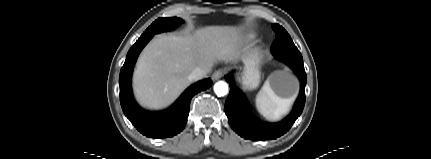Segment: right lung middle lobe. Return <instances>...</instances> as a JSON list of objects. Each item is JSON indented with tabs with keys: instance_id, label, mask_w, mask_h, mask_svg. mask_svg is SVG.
Instances as JSON below:
<instances>
[{
	"instance_id": "dd1d6c3e",
	"label": "right lung middle lobe",
	"mask_w": 431,
	"mask_h": 159,
	"mask_svg": "<svg viewBox=\"0 0 431 159\" xmlns=\"http://www.w3.org/2000/svg\"><path fill=\"white\" fill-rule=\"evenodd\" d=\"M183 20L177 17L172 18H159L155 20L142 34L143 36L148 35H154L159 32L163 31H169L174 29L176 26H178L180 23H182Z\"/></svg>"
}]
</instances>
